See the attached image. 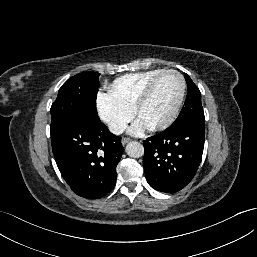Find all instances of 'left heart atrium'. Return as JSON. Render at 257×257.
<instances>
[{"mask_svg": "<svg viewBox=\"0 0 257 257\" xmlns=\"http://www.w3.org/2000/svg\"><path fill=\"white\" fill-rule=\"evenodd\" d=\"M148 129V126L145 124L144 121H142L141 119H137L133 125L130 127L129 129V133L132 135H141L142 133H144V131Z\"/></svg>", "mask_w": 257, "mask_h": 257, "instance_id": "left-heart-atrium-1", "label": "left heart atrium"}]
</instances>
